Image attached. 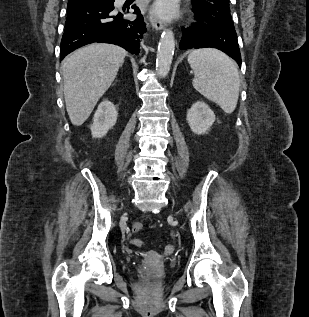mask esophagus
<instances>
[{
  "mask_svg": "<svg viewBox=\"0 0 309 317\" xmlns=\"http://www.w3.org/2000/svg\"><path fill=\"white\" fill-rule=\"evenodd\" d=\"M149 21H150L151 26L155 30L160 31L166 27V23L163 20L157 18L156 16H154L152 14L149 16Z\"/></svg>",
  "mask_w": 309,
  "mask_h": 317,
  "instance_id": "34e87169",
  "label": "esophagus"
}]
</instances>
